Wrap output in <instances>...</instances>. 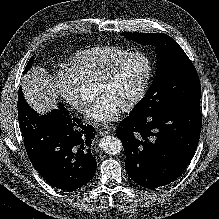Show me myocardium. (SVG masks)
<instances>
[{
    "label": "myocardium",
    "mask_w": 219,
    "mask_h": 219,
    "mask_svg": "<svg viewBox=\"0 0 219 219\" xmlns=\"http://www.w3.org/2000/svg\"><path fill=\"white\" fill-rule=\"evenodd\" d=\"M134 56L142 57L146 62V73L140 88L138 89L135 96L131 99V101L121 107V111L129 112L133 110L145 97L149 86L151 84L153 74H154V62L152 57L143 50H133L129 51L126 54L122 55L118 59H116L111 65H109L105 71L97 78L98 83H105L111 79V77L117 72V70L121 67V65L129 58Z\"/></svg>",
    "instance_id": "myocardium-1"
}]
</instances>
